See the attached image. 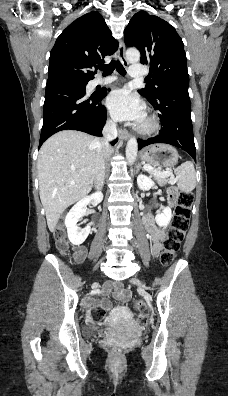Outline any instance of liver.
<instances>
[{"instance_id": "liver-1", "label": "liver", "mask_w": 228, "mask_h": 396, "mask_svg": "<svg viewBox=\"0 0 228 396\" xmlns=\"http://www.w3.org/2000/svg\"><path fill=\"white\" fill-rule=\"evenodd\" d=\"M96 140L80 131L64 130L51 136L40 148L39 194L51 232L65 209L92 189Z\"/></svg>"}]
</instances>
